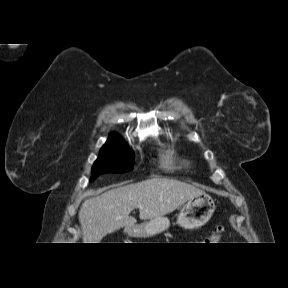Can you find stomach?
<instances>
[{
  "label": "stomach",
  "instance_id": "obj_1",
  "mask_svg": "<svg viewBox=\"0 0 288 288\" xmlns=\"http://www.w3.org/2000/svg\"><path fill=\"white\" fill-rule=\"evenodd\" d=\"M214 200L205 192L191 197L181 208L177 224L184 229H198L204 226L215 211ZM170 226L166 217H158L131 228H125L130 237L148 238L155 236Z\"/></svg>",
  "mask_w": 288,
  "mask_h": 288
}]
</instances>
